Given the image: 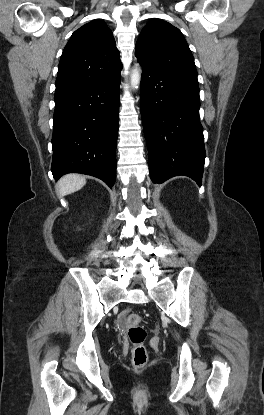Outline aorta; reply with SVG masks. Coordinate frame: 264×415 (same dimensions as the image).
Masks as SVG:
<instances>
[{"label":"aorta","instance_id":"1","mask_svg":"<svg viewBox=\"0 0 264 415\" xmlns=\"http://www.w3.org/2000/svg\"><path fill=\"white\" fill-rule=\"evenodd\" d=\"M141 79V69L135 67L131 71L130 75V84L133 89H137Z\"/></svg>","mask_w":264,"mask_h":415}]
</instances>
